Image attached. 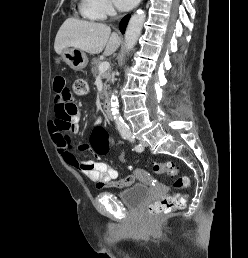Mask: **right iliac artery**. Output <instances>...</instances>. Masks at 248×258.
I'll use <instances>...</instances> for the list:
<instances>
[{
	"label": "right iliac artery",
	"mask_w": 248,
	"mask_h": 258,
	"mask_svg": "<svg viewBox=\"0 0 248 258\" xmlns=\"http://www.w3.org/2000/svg\"><path fill=\"white\" fill-rule=\"evenodd\" d=\"M123 138L126 139L128 137L127 134H122Z\"/></svg>",
	"instance_id": "82829eb1"
}]
</instances>
